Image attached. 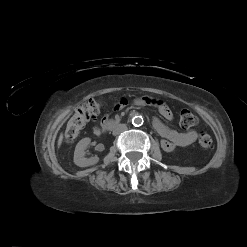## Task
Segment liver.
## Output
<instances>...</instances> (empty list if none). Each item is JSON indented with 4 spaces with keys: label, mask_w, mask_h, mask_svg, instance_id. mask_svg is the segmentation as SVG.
Segmentation results:
<instances>
[{
    "label": "liver",
    "mask_w": 247,
    "mask_h": 247,
    "mask_svg": "<svg viewBox=\"0 0 247 247\" xmlns=\"http://www.w3.org/2000/svg\"><path fill=\"white\" fill-rule=\"evenodd\" d=\"M62 141H63V134H60L59 139H58V143H57L58 147H60Z\"/></svg>",
    "instance_id": "liver-1"
}]
</instances>
